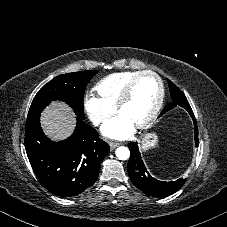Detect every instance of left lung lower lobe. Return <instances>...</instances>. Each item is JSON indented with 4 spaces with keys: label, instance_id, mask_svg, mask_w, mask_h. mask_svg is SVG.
Returning a JSON list of instances; mask_svg holds the SVG:
<instances>
[{
    "label": "left lung lower lobe",
    "instance_id": "obj_1",
    "mask_svg": "<svg viewBox=\"0 0 227 227\" xmlns=\"http://www.w3.org/2000/svg\"><path fill=\"white\" fill-rule=\"evenodd\" d=\"M194 122L195 146L198 147V128L194 114H190ZM131 152L127 170L132 183L147 195L153 197H167L178 191L186 182V179L176 181H159L153 178L147 171L139 152L137 142L129 143Z\"/></svg>",
    "mask_w": 227,
    "mask_h": 227
}]
</instances>
